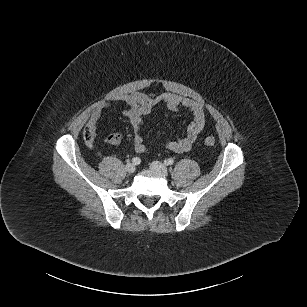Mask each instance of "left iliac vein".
I'll return each instance as SVG.
<instances>
[{
  "mask_svg": "<svg viewBox=\"0 0 307 307\" xmlns=\"http://www.w3.org/2000/svg\"><path fill=\"white\" fill-rule=\"evenodd\" d=\"M150 168L160 174H162L163 176H167L168 175V169L167 167L159 162V161H153L151 164H150Z\"/></svg>",
  "mask_w": 307,
  "mask_h": 307,
  "instance_id": "1",
  "label": "left iliac vein"
}]
</instances>
